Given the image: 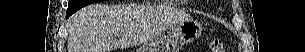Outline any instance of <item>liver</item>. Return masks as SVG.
<instances>
[{
	"instance_id": "obj_1",
	"label": "liver",
	"mask_w": 305,
	"mask_h": 52,
	"mask_svg": "<svg viewBox=\"0 0 305 52\" xmlns=\"http://www.w3.org/2000/svg\"><path fill=\"white\" fill-rule=\"evenodd\" d=\"M160 32L143 6L93 4L70 18L68 52H113L148 42Z\"/></svg>"
}]
</instances>
